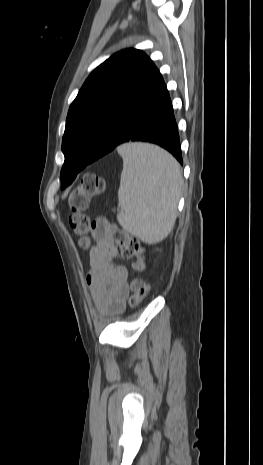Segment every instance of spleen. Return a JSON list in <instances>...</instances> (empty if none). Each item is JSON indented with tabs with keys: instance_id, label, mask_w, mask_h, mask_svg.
<instances>
[{
	"instance_id": "obj_1",
	"label": "spleen",
	"mask_w": 263,
	"mask_h": 465,
	"mask_svg": "<svg viewBox=\"0 0 263 465\" xmlns=\"http://www.w3.org/2000/svg\"><path fill=\"white\" fill-rule=\"evenodd\" d=\"M117 220L124 230L150 244L172 230L182 185L178 162L163 149L144 143L123 144Z\"/></svg>"
}]
</instances>
